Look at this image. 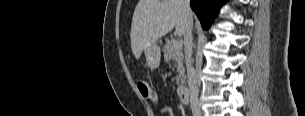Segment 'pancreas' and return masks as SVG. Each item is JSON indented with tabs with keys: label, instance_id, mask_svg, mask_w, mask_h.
Here are the masks:
<instances>
[{
	"label": "pancreas",
	"instance_id": "1",
	"mask_svg": "<svg viewBox=\"0 0 305 116\" xmlns=\"http://www.w3.org/2000/svg\"><path fill=\"white\" fill-rule=\"evenodd\" d=\"M173 41L172 40H166L165 45L163 47L164 52V59L166 63H172L174 64V67H176V71L178 73L176 77V83L178 85L183 84L185 79V69L183 66V52L182 49L174 50L173 49Z\"/></svg>",
	"mask_w": 305,
	"mask_h": 116
}]
</instances>
